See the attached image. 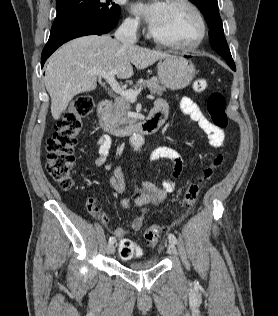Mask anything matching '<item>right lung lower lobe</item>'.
<instances>
[{"label": "right lung lower lobe", "mask_w": 278, "mask_h": 316, "mask_svg": "<svg viewBox=\"0 0 278 316\" xmlns=\"http://www.w3.org/2000/svg\"><path fill=\"white\" fill-rule=\"evenodd\" d=\"M118 19L103 20L98 18L51 30L49 40L42 52L41 66L43 67L46 59L65 42L80 36L107 33L117 25Z\"/></svg>", "instance_id": "right-lung-lower-lobe-1"}]
</instances>
